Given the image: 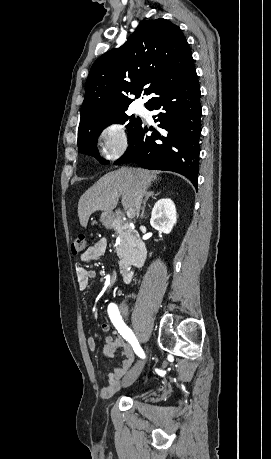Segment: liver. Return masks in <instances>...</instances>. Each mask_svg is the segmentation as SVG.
Listing matches in <instances>:
<instances>
[{"mask_svg": "<svg viewBox=\"0 0 271 459\" xmlns=\"http://www.w3.org/2000/svg\"><path fill=\"white\" fill-rule=\"evenodd\" d=\"M155 180L156 174L141 168H120L116 172H108L81 196L78 202L81 226L87 228L91 214L97 210L112 212L118 204L119 196H122L124 210H134L136 192H141L144 196L151 182Z\"/></svg>", "mask_w": 271, "mask_h": 459, "instance_id": "1", "label": "liver"}]
</instances>
